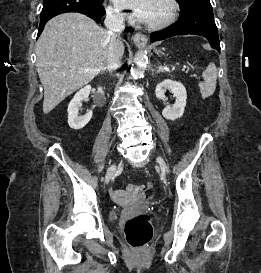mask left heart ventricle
<instances>
[{"instance_id": "obj_1", "label": "left heart ventricle", "mask_w": 261, "mask_h": 273, "mask_svg": "<svg viewBox=\"0 0 261 273\" xmlns=\"http://www.w3.org/2000/svg\"><path fill=\"white\" fill-rule=\"evenodd\" d=\"M168 6L164 0H154L148 23L164 19L168 14Z\"/></svg>"}]
</instances>
